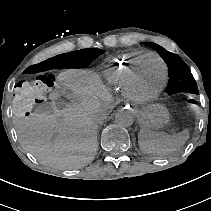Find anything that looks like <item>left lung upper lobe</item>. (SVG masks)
<instances>
[{
  "label": "left lung upper lobe",
  "instance_id": "left-lung-upper-lobe-1",
  "mask_svg": "<svg viewBox=\"0 0 211 211\" xmlns=\"http://www.w3.org/2000/svg\"><path fill=\"white\" fill-rule=\"evenodd\" d=\"M144 44L155 49L168 64L169 82L166 92L169 95L178 92H187L192 94L199 93L196 81L191 74L189 67L178 55L166 51L161 46L152 42H144ZM191 102H193V100H191Z\"/></svg>",
  "mask_w": 211,
  "mask_h": 211
}]
</instances>
